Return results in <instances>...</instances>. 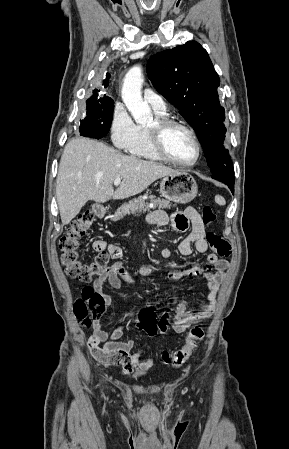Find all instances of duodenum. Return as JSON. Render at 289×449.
I'll return each instance as SVG.
<instances>
[{
    "instance_id": "1",
    "label": "duodenum",
    "mask_w": 289,
    "mask_h": 449,
    "mask_svg": "<svg viewBox=\"0 0 289 449\" xmlns=\"http://www.w3.org/2000/svg\"><path fill=\"white\" fill-rule=\"evenodd\" d=\"M99 212H100L101 214H103V213H104V210H103V209H99Z\"/></svg>"
}]
</instances>
